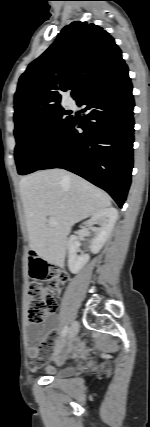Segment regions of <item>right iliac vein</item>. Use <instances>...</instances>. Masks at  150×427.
Listing matches in <instances>:
<instances>
[{"mask_svg": "<svg viewBox=\"0 0 150 427\" xmlns=\"http://www.w3.org/2000/svg\"><path fill=\"white\" fill-rule=\"evenodd\" d=\"M78 331H79V324L78 322L75 321L72 323L70 327L69 338H74L77 335Z\"/></svg>", "mask_w": 150, "mask_h": 427, "instance_id": "63e3f726", "label": "right iliac vein"}]
</instances>
